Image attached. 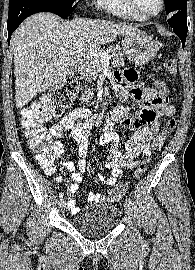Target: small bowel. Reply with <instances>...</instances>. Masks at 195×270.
<instances>
[{
    "label": "small bowel",
    "mask_w": 195,
    "mask_h": 270,
    "mask_svg": "<svg viewBox=\"0 0 195 270\" xmlns=\"http://www.w3.org/2000/svg\"><path fill=\"white\" fill-rule=\"evenodd\" d=\"M118 83L132 85L131 96L139 104L140 109L131 112L124 106L115 107L108 115L104 130L99 138V144L111 145L109 157L105 167L111 172L109 177L98 175L100 181L112 187L106 195L90 192L88 201L116 202L120 196L115 193V184L122 176L124 168H134L139 163L138 156L142 153L150 158L153 150L159 149L162 145H156L159 135V118H170L174 115V107L168 103V96L159 97L155 87L145 86L138 81V73L133 69H126L115 74ZM121 122L132 134L125 143L122 150L118 134L114 131V125ZM94 126L93 113L84 107L75 108L55 124L50 132V137L61 138L66 132L78 144V154L80 160L77 164L64 162L63 166L70 172L72 183L68 187V192L73 195L83 181V173L87 169L85 160L88 152V136ZM72 214L79 212L74 198H70L67 203Z\"/></svg>",
    "instance_id": "small-bowel-1"
}]
</instances>
